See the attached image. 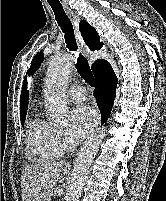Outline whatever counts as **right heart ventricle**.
<instances>
[{"instance_id":"1","label":"right heart ventricle","mask_w":166,"mask_h":201,"mask_svg":"<svg viewBox=\"0 0 166 201\" xmlns=\"http://www.w3.org/2000/svg\"><path fill=\"white\" fill-rule=\"evenodd\" d=\"M57 128L54 124L34 117L28 125V153L36 162L51 161L62 151L56 141Z\"/></svg>"}]
</instances>
